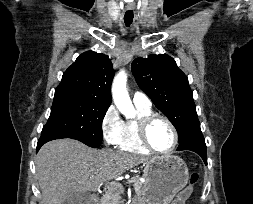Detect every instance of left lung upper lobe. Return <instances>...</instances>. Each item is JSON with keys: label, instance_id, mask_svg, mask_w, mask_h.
<instances>
[{"label": "left lung upper lobe", "instance_id": "5c2ea615", "mask_svg": "<svg viewBox=\"0 0 253 204\" xmlns=\"http://www.w3.org/2000/svg\"><path fill=\"white\" fill-rule=\"evenodd\" d=\"M131 69L139 87L177 129L181 143L191 125L198 122L187 76L166 54L137 58Z\"/></svg>", "mask_w": 253, "mask_h": 204}]
</instances>
